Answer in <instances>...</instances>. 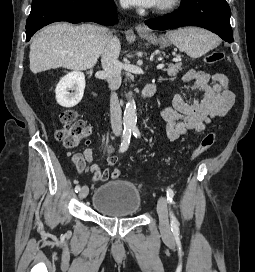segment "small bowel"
<instances>
[{
  "label": "small bowel",
  "mask_w": 255,
  "mask_h": 272,
  "mask_svg": "<svg viewBox=\"0 0 255 272\" xmlns=\"http://www.w3.org/2000/svg\"><path fill=\"white\" fill-rule=\"evenodd\" d=\"M182 81L191 83L190 88L176 94L172 105L159 111L168 141L204 131L213 118L224 116L235 102L229 80L223 73H208L191 68L183 74ZM106 152L108 164L113 165L116 157L112 145H106ZM71 159L79 172L87 168L92 173L93 181L112 178L108 168L102 169L94 162L93 151L89 147L83 152L73 153Z\"/></svg>",
  "instance_id": "1"
}]
</instances>
